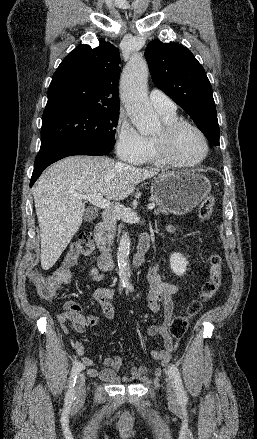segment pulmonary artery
I'll list each match as a JSON object with an SVG mask.
<instances>
[{
  "instance_id": "1",
  "label": "pulmonary artery",
  "mask_w": 257,
  "mask_h": 439,
  "mask_svg": "<svg viewBox=\"0 0 257 439\" xmlns=\"http://www.w3.org/2000/svg\"><path fill=\"white\" fill-rule=\"evenodd\" d=\"M149 100L151 105L160 114L170 115L176 112V105L174 102L161 90H151L149 93Z\"/></svg>"
}]
</instances>
